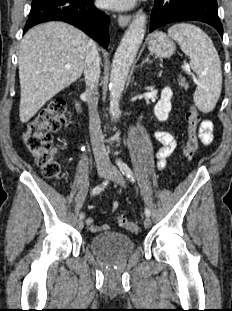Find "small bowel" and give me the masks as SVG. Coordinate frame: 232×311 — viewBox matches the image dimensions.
I'll return each mask as SVG.
<instances>
[{
	"label": "small bowel",
	"instance_id": "small-bowel-1",
	"mask_svg": "<svg viewBox=\"0 0 232 311\" xmlns=\"http://www.w3.org/2000/svg\"><path fill=\"white\" fill-rule=\"evenodd\" d=\"M213 123L210 120H204L200 127V139L201 141L209 145L213 141ZM154 138L162 144L157 150L156 157L158 159L159 167H163L166 163V159L175 151L177 142L175 137L168 131L162 129H156L153 132ZM117 202L113 203V209L117 208ZM86 224L89 226L92 233H98L109 229L108 224L96 225L92 218L86 219Z\"/></svg>",
	"mask_w": 232,
	"mask_h": 311
}]
</instances>
